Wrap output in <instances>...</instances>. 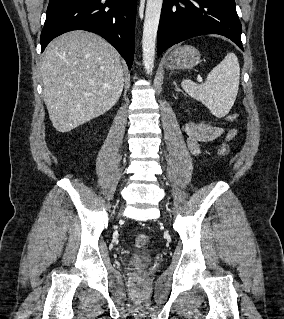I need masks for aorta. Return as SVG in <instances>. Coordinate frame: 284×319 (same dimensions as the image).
<instances>
[{
    "instance_id": "obj_1",
    "label": "aorta",
    "mask_w": 284,
    "mask_h": 319,
    "mask_svg": "<svg viewBox=\"0 0 284 319\" xmlns=\"http://www.w3.org/2000/svg\"><path fill=\"white\" fill-rule=\"evenodd\" d=\"M163 0H147L142 36L143 65L147 74L154 68L155 47Z\"/></svg>"
}]
</instances>
